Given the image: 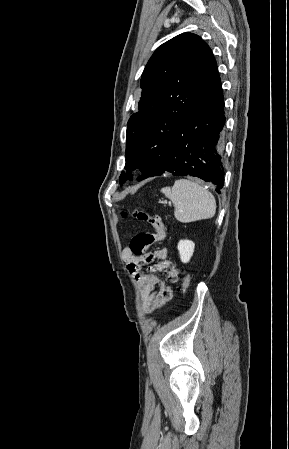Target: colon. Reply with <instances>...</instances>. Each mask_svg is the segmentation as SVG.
Instances as JSON below:
<instances>
[{
  "instance_id": "obj_1",
  "label": "colon",
  "mask_w": 289,
  "mask_h": 449,
  "mask_svg": "<svg viewBox=\"0 0 289 449\" xmlns=\"http://www.w3.org/2000/svg\"><path fill=\"white\" fill-rule=\"evenodd\" d=\"M123 217L127 216L126 212L122 213ZM132 216L138 219L139 221L146 222L150 226L154 228V232H140L136 234L131 242L130 249L132 253L136 256H147V249L156 243H160L165 240L167 236V232L165 226L159 215L150 214L145 210H135L132 213ZM190 287V278L185 275L182 279L181 291L182 293H186Z\"/></svg>"
}]
</instances>
